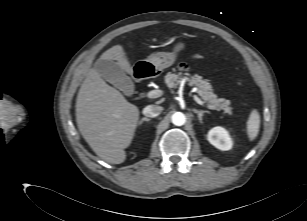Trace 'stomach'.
<instances>
[{
	"instance_id": "stomach-1",
	"label": "stomach",
	"mask_w": 307,
	"mask_h": 221,
	"mask_svg": "<svg viewBox=\"0 0 307 221\" xmlns=\"http://www.w3.org/2000/svg\"><path fill=\"white\" fill-rule=\"evenodd\" d=\"M185 49V44H176L171 52H157L151 54L147 59L139 60L135 68L143 69L142 77H155L165 68L170 67L176 61L178 54Z\"/></svg>"
}]
</instances>
